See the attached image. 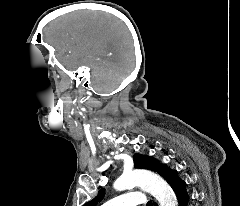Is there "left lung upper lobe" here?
Wrapping results in <instances>:
<instances>
[{
  "label": "left lung upper lobe",
  "instance_id": "5c2ea615",
  "mask_svg": "<svg viewBox=\"0 0 240 206\" xmlns=\"http://www.w3.org/2000/svg\"><path fill=\"white\" fill-rule=\"evenodd\" d=\"M133 158L135 168L152 170L160 174L162 177L168 169L164 164H160L158 160L150 156L135 154ZM104 194V189H101L97 196L93 200L85 203L84 206H96L103 199Z\"/></svg>",
  "mask_w": 240,
  "mask_h": 206
}]
</instances>
